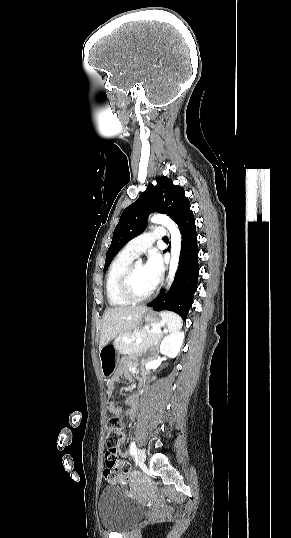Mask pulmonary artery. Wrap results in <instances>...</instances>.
I'll return each instance as SVG.
<instances>
[{"label":"pulmonary artery","mask_w":291,"mask_h":538,"mask_svg":"<svg viewBox=\"0 0 291 538\" xmlns=\"http://www.w3.org/2000/svg\"><path fill=\"white\" fill-rule=\"evenodd\" d=\"M167 230L163 227L155 228L150 232L143 233L136 238L132 239L124 247L125 251L134 257L139 256L141 253L149 249L152 244L158 240L167 237Z\"/></svg>","instance_id":"1"}]
</instances>
